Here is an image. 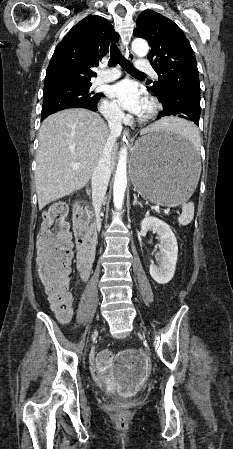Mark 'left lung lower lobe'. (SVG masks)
Segmentation results:
<instances>
[{"label": "left lung lower lobe", "mask_w": 233, "mask_h": 449, "mask_svg": "<svg viewBox=\"0 0 233 449\" xmlns=\"http://www.w3.org/2000/svg\"><path fill=\"white\" fill-rule=\"evenodd\" d=\"M154 94L163 105V111L157 116L158 119L173 115L193 121L199 126L200 103L176 92L164 91Z\"/></svg>", "instance_id": "left-lung-lower-lobe-1"}]
</instances>
